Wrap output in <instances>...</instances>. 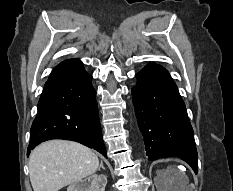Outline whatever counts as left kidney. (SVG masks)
<instances>
[{
  "label": "left kidney",
  "instance_id": "left-kidney-1",
  "mask_svg": "<svg viewBox=\"0 0 233 191\" xmlns=\"http://www.w3.org/2000/svg\"><path fill=\"white\" fill-rule=\"evenodd\" d=\"M170 178V191H181L182 188V182H176L175 176L173 175H168Z\"/></svg>",
  "mask_w": 233,
  "mask_h": 191
}]
</instances>
